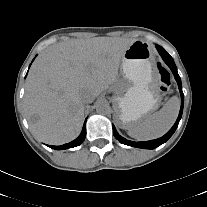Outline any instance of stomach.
I'll return each instance as SVG.
<instances>
[{"mask_svg":"<svg viewBox=\"0 0 207 207\" xmlns=\"http://www.w3.org/2000/svg\"><path fill=\"white\" fill-rule=\"evenodd\" d=\"M156 83L153 52L136 40L122 56L121 78L114 89V118L120 128L129 129L157 107L161 97Z\"/></svg>","mask_w":207,"mask_h":207,"instance_id":"0dacf381","label":"stomach"}]
</instances>
